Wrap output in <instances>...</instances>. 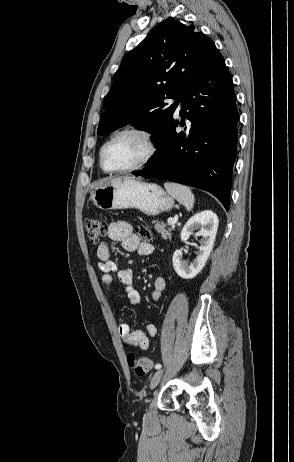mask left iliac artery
<instances>
[{
    "label": "left iliac artery",
    "mask_w": 294,
    "mask_h": 462,
    "mask_svg": "<svg viewBox=\"0 0 294 462\" xmlns=\"http://www.w3.org/2000/svg\"><path fill=\"white\" fill-rule=\"evenodd\" d=\"M161 368V364H156L155 365V369H160Z\"/></svg>",
    "instance_id": "1"
}]
</instances>
